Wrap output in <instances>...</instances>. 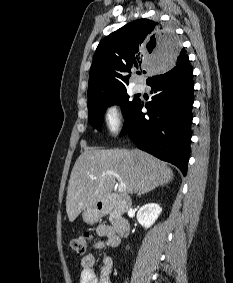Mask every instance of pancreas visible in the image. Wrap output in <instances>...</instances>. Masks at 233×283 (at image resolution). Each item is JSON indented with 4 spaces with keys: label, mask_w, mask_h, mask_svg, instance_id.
<instances>
[{
    "label": "pancreas",
    "mask_w": 233,
    "mask_h": 283,
    "mask_svg": "<svg viewBox=\"0 0 233 283\" xmlns=\"http://www.w3.org/2000/svg\"><path fill=\"white\" fill-rule=\"evenodd\" d=\"M114 217H115V212H113L111 215H110V221L112 222L113 221V219H114Z\"/></svg>",
    "instance_id": "pancreas-1"
}]
</instances>
